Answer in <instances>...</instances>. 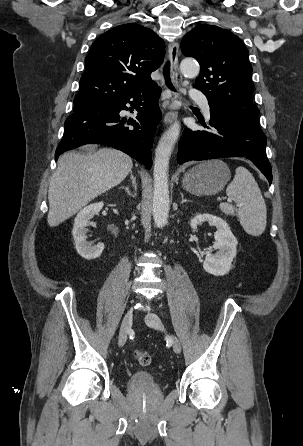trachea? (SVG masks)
<instances>
[{
  "mask_svg": "<svg viewBox=\"0 0 303 446\" xmlns=\"http://www.w3.org/2000/svg\"><path fill=\"white\" fill-rule=\"evenodd\" d=\"M163 74H164L165 82H166V85L168 86V88L171 89L172 91H175V88L173 87L171 79H170V63L169 62H167L166 65L164 66Z\"/></svg>",
  "mask_w": 303,
  "mask_h": 446,
  "instance_id": "3493384b",
  "label": "trachea"
}]
</instances>
